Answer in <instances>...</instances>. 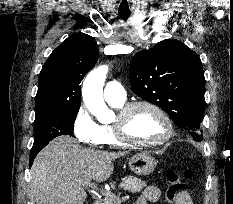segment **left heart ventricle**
Masks as SVG:
<instances>
[{"label":"left heart ventricle","instance_id":"left-heart-ventricle-1","mask_svg":"<svg viewBox=\"0 0 233 204\" xmlns=\"http://www.w3.org/2000/svg\"><path fill=\"white\" fill-rule=\"evenodd\" d=\"M127 132L137 140L154 141L162 138L167 128L162 118L149 108H137L130 116Z\"/></svg>","mask_w":233,"mask_h":204}]
</instances>
